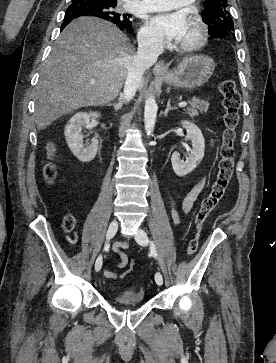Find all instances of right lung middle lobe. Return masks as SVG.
Wrapping results in <instances>:
<instances>
[{
  "instance_id": "obj_1",
  "label": "right lung middle lobe",
  "mask_w": 276,
  "mask_h": 363,
  "mask_svg": "<svg viewBox=\"0 0 276 363\" xmlns=\"http://www.w3.org/2000/svg\"><path fill=\"white\" fill-rule=\"evenodd\" d=\"M116 6L117 3L100 0H72V4L68 7L66 13L84 10L105 20L123 22V24L131 23L126 14L122 15L113 11Z\"/></svg>"
}]
</instances>
